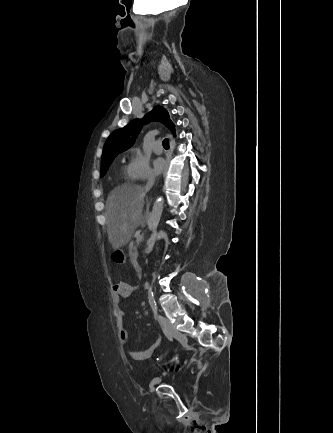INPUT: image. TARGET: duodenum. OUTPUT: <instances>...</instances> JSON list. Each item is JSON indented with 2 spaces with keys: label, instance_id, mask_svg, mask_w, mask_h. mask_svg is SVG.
Here are the masks:
<instances>
[{
  "label": "duodenum",
  "instance_id": "1",
  "mask_svg": "<svg viewBox=\"0 0 333 433\" xmlns=\"http://www.w3.org/2000/svg\"><path fill=\"white\" fill-rule=\"evenodd\" d=\"M135 241H130L129 243V249H134ZM131 263H133V268H137V275L142 278L143 277V269L139 267V264L137 263V258H131Z\"/></svg>",
  "mask_w": 333,
  "mask_h": 433
}]
</instances>
